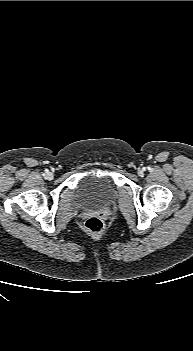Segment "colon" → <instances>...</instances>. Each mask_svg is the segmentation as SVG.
Instances as JSON below:
<instances>
[{
  "label": "colon",
  "instance_id": "obj_1",
  "mask_svg": "<svg viewBox=\"0 0 193 351\" xmlns=\"http://www.w3.org/2000/svg\"><path fill=\"white\" fill-rule=\"evenodd\" d=\"M84 229L91 234H99L104 229V222L98 216H92L85 220Z\"/></svg>",
  "mask_w": 193,
  "mask_h": 351
}]
</instances>
